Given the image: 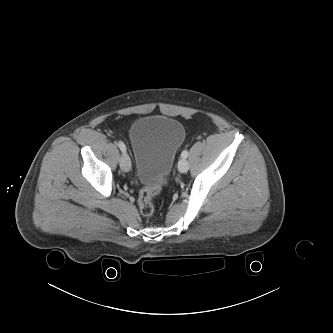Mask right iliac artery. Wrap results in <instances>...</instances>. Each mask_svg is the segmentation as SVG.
I'll return each instance as SVG.
<instances>
[{"label":"right iliac artery","mask_w":333,"mask_h":333,"mask_svg":"<svg viewBox=\"0 0 333 333\" xmlns=\"http://www.w3.org/2000/svg\"><path fill=\"white\" fill-rule=\"evenodd\" d=\"M117 145H118V147L120 148V150L122 152H124V153L126 152V146H125V144L122 141H118Z\"/></svg>","instance_id":"82829eb1"}]
</instances>
